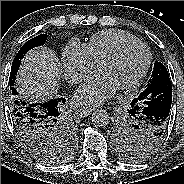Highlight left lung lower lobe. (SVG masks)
I'll return each instance as SVG.
<instances>
[{"mask_svg": "<svg viewBox=\"0 0 184 184\" xmlns=\"http://www.w3.org/2000/svg\"><path fill=\"white\" fill-rule=\"evenodd\" d=\"M172 85L170 79H161L149 84L131 102V115L151 127L157 137L166 133L170 119Z\"/></svg>", "mask_w": 184, "mask_h": 184, "instance_id": "left-lung-lower-lobe-1", "label": "left lung lower lobe"}]
</instances>
